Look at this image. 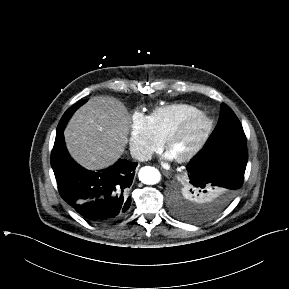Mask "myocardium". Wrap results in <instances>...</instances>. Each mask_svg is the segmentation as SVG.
<instances>
[{"label":"myocardium","instance_id":"1","mask_svg":"<svg viewBox=\"0 0 289 289\" xmlns=\"http://www.w3.org/2000/svg\"><path fill=\"white\" fill-rule=\"evenodd\" d=\"M197 120L204 121V129L188 149H186L182 154L175 156V159L179 162L191 160L204 147L213 131V119L207 113L200 110L199 112L186 117L165 139V147L170 151L171 147L187 134L192 124Z\"/></svg>","mask_w":289,"mask_h":289}]
</instances>
